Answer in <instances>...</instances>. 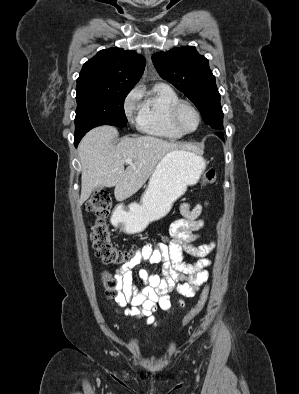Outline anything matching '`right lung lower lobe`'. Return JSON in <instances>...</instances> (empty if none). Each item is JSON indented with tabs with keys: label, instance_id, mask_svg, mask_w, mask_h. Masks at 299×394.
<instances>
[{
	"label": "right lung lower lobe",
	"instance_id": "obj_1",
	"mask_svg": "<svg viewBox=\"0 0 299 394\" xmlns=\"http://www.w3.org/2000/svg\"><path fill=\"white\" fill-rule=\"evenodd\" d=\"M85 135V133H76L74 135L75 141L74 144L75 146H77V144L79 143V141L81 140V138Z\"/></svg>",
	"mask_w": 299,
	"mask_h": 394
}]
</instances>
